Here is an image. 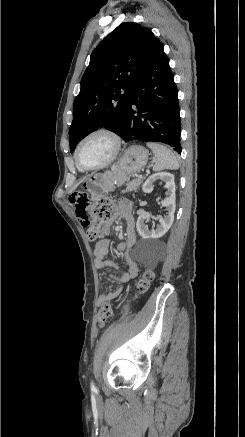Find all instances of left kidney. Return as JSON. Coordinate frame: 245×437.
I'll list each match as a JSON object with an SVG mask.
<instances>
[{
  "mask_svg": "<svg viewBox=\"0 0 245 437\" xmlns=\"http://www.w3.org/2000/svg\"><path fill=\"white\" fill-rule=\"evenodd\" d=\"M161 180L165 183L167 189L166 198L161 201V205L166 208L167 215L159 219V224L156 229L149 230L145 222L148 219L147 214H141L136 222V227L139 235L143 239H157L166 234L172 226L175 212V182L174 175L169 172H159L151 175L143 184V192L150 193L153 191L154 182Z\"/></svg>",
  "mask_w": 245,
  "mask_h": 437,
  "instance_id": "1",
  "label": "left kidney"
}]
</instances>
